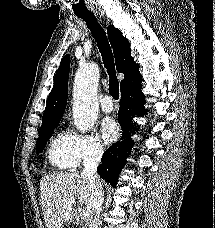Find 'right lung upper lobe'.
<instances>
[{
    "mask_svg": "<svg viewBox=\"0 0 215 228\" xmlns=\"http://www.w3.org/2000/svg\"><path fill=\"white\" fill-rule=\"evenodd\" d=\"M108 37L113 48L117 71L124 73V79L120 82L122 88L124 82L139 73V65L131 57L130 44L123 37L120 30L113 25L107 28ZM69 76V55L64 56L56 72L54 86L47 99V105L42 118V125L60 122L67 104Z\"/></svg>",
    "mask_w": 215,
    "mask_h": 228,
    "instance_id": "obj_1",
    "label": "right lung upper lobe"
}]
</instances>
